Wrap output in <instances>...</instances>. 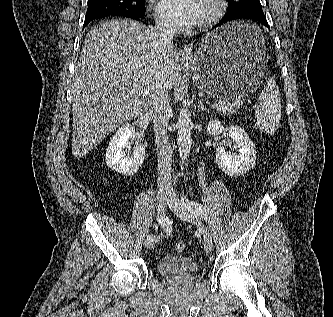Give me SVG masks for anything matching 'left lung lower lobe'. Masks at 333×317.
I'll use <instances>...</instances> for the list:
<instances>
[{
    "label": "left lung lower lobe",
    "instance_id": "left-lung-lower-lobe-1",
    "mask_svg": "<svg viewBox=\"0 0 333 317\" xmlns=\"http://www.w3.org/2000/svg\"><path fill=\"white\" fill-rule=\"evenodd\" d=\"M242 19H250L253 21H258L269 28V25L266 20V16L264 15L262 8H253V9H246L239 12L226 14V16L213 28L219 27L225 23L234 21V20H242ZM201 35V34H200ZM198 35L197 37H199Z\"/></svg>",
    "mask_w": 333,
    "mask_h": 317
}]
</instances>
